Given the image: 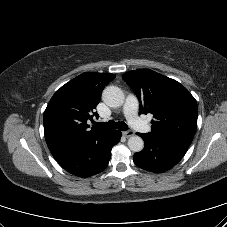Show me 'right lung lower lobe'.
<instances>
[{"instance_id":"98d812e1","label":"right lung lower lobe","mask_w":227,"mask_h":227,"mask_svg":"<svg viewBox=\"0 0 227 227\" xmlns=\"http://www.w3.org/2000/svg\"><path fill=\"white\" fill-rule=\"evenodd\" d=\"M120 138V131L106 130L86 140L55 148L51 153L69 173L78 177H90L106 168L111 157V149Z\"/></svg>"}]
</instances>
